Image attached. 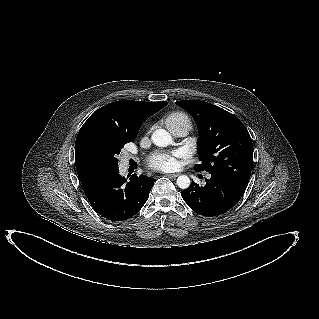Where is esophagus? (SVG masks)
Instances as JSON below:
<instances>
[{
    "label": "esophagus",
    "instance_id": "obj_1",
    "mask_svg": "<svg viewBox=\"0 0 319 319\" xmlns=\"http://www.w3.org/2000/svg\"><path fill=\"white\" fill-rule=\"evenodd\" d=\"M166 176L171 177V178H176L179 176V174L178 173L166 174Z\"/></svg>",
    "mask_w": 319,
    "mask_h": 319
}]
</instances>
